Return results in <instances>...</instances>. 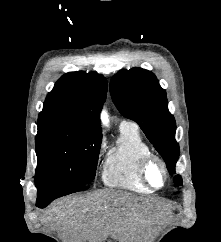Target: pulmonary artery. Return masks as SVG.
Listing matches in <instances>:
<instances>
[{"mask_svg": "<svg viewBox=\"0 0 221 242\" xmlns=\"http://www.w3.org/2000/svg\"><path fill=\"white\" fill-rule=\"evenodd\" d=\"M127 125H134V124L131 123V122H128V121H122L121 124H120V127L127 126Z\"/></svg>", "mask_w": 221, "mask_h": 242, "instance_id": "pulmonary-artery-1", "label": "pulmonary artery"}]
</instances>
